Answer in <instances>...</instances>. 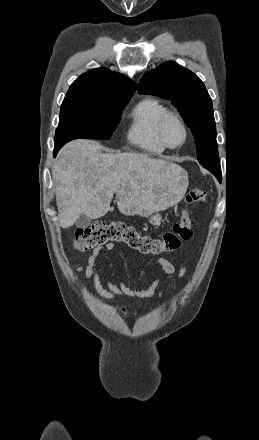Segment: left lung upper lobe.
Instances as JSON below:
<instances>
[{
	"label": "left lung upper lobe",
	"mask_w": 259,
	"mask_h": 440,
	"mask_svg": "<svg viewBox=\"0 0 259 440\" xmlns=\"http://www.w3.org/2000/svg\"><path fill=\"white\" fill-rule=\"evenodd\" d=\"M138 92L172 101L195 138L198 161L221 179L212 100L203 82L190 70L166 62L142 77Z\"/></svg>",
	"instance_id": "obj_1"
}]
</instances>
